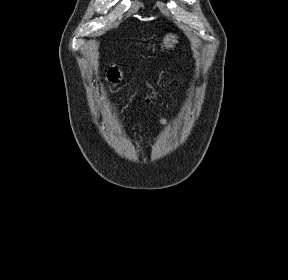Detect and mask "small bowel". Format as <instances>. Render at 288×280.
<instances>
[{"mask_svg":"<svg viewBox=\"0 0 288 280\" xmlns=\"http://www.w3.org/2000/svg\"><path fill=\"white\" fill-rule=\"evenodd\" d=\"M160 124L166 125V124H168V121L166 119H161Z\"/></svg>","mask_w":288,"mask_h":280,"instance_id":"small-bowel-1","label":"small bowel"}]
</instances>
